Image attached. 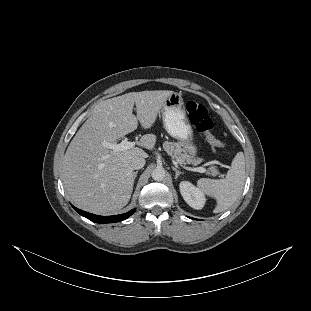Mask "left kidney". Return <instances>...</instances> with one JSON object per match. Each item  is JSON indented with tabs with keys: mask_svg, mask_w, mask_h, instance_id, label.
<instances>
[{
	"mask_svg": "<svg viewBox=\"0 0 311 311\" xmlns=\"http://www.w3.org/2000/svg\"><path fill=\"white\" fill-rule=\"evenodd\" d=\"M180 193L185 202L192 208L199 210L204 207L206 198L204 193L189 181H181L179 184Z\"/></svg>",
	"mask_w": 311,
	"mask_h": 311,
	"instance_id": "5707ae66",
	"label": "left kidney"
}]
</instances>
